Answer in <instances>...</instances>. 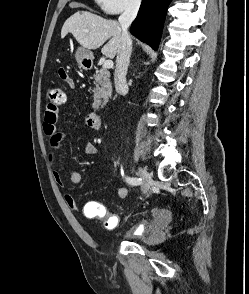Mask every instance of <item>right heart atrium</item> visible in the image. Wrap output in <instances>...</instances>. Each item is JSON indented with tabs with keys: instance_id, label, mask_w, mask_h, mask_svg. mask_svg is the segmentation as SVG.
<instances>
[{
	"instance_id": "d8ad5b80",
	"label": "right heart atrium",
	"mask_w": 249,
	"mask_h": 294,
	"mask_svg": "<svg viewBox=\"0 0 249 294\" xmlns=\"http://www.w3.org/2000/svg\"><path fill=\"white\" fill-rule=\"evenodd\" d=\"M100 8L107 14L115 15L137 10L141 0H96Z\"/></svg>"
}]
</instances>
